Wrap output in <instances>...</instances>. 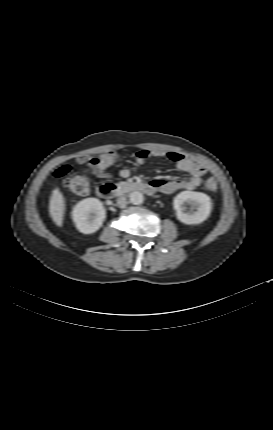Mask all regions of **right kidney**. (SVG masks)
I'll return each mask as SVG.
<instances>
[{"label":"right kidney","mask_w":273,"mask_h":430,"mask_svg":"<svg viewBox=\"0 0 273 430\" xmlns=\"http://www.w3.org/2000/svg\"><path fill=\"white\" fill-rule=\"evenodd\" d=\"M105 217L103 204L97 198H87L78 202L72 211L76 228L84 234L96 232L102 226Z\"/></svg>","instance_id":"1"}]
</instances>
